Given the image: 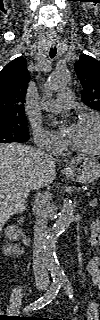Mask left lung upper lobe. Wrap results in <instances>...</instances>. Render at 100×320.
Returning a JSON list of instances; mask_svg holds the SVG:
<instances>
[{
    "mask_svg": "<svg viewBox=\"0 0 100 320\" xmlns=\"http://www.w3.org/2000/svg\"><path fill=\"white\" fill-rule=\"evenodd\" d=\"M75 71L83 86V102L100 111V62L82 54L75 63Z\"/></svg>",
    "mask_w": 100,
    "mask_h": 320,
    "instance_id": "left-lung-upper-lobe-1",
    "label": "left lung upper lobe"
}]
</instances>
